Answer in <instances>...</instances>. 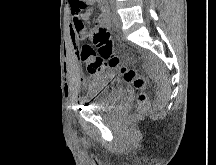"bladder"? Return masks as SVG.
Wrapping results in <instances>:
<instances>
[{
	"label": "bladder",
	"mask_w": 216,
	"mask_h": 165,
	"mask_svg": "<svg viewBox=\"0 0 216 165\" xmlns=\"http://www.w3.org/2000/svg\"><path fill=\"white\" fill-rule=\"evenodd\" d=\"M121 76H114L111 72H103L94 76L88 82L92 101L89 103L94 111H108L117 97L123 93L119 89Z\"/></svg>",
	"instance_id": "1"
}]
</instances>
